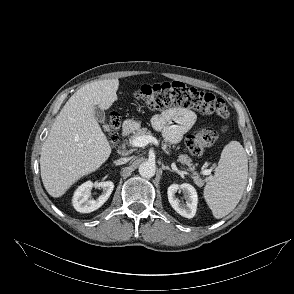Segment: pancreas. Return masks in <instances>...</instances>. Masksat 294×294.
<instances>
[{"instance_id":"pancreas-1","label":"pancreas","mask_w":294,"mask_h":294,"mask_svg":"<svg viewBox=\"0 0 294 294\" xmlns=\"http://www.w3.org/2000/svg\"><path fill=\"white\" fill-rule=\"evenodd\" d=\"M150 135L151 136V131L148 130L147 128H139L136 132L133 133L132 139L140 136H146ZM168 145L166 143H163V150L166 153H169L167 150ZM178 161L183 164L188 166V171L191 172V178L194 180L195 184L199 187L204 185V180L200 178L199 174L197 171H195V166L192 164V160L190 157L186 154H181L178 156Z\"/></svg>"}]
</instances>
